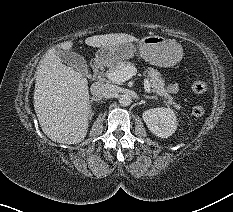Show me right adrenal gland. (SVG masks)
Segmentation results:
<instances>
[{
    "label": "right adrenal gland",
    "mask_w": 233,
    "mask_h": 212,
    "mask_svg": "<svg viewBox=\"0 0 233 212\" xmlns=\"http://www.w3.org/2000/svg\"><path fill=\"white\" fill-rule=\"evenodd\" d=\"M102 100V98H95V97H92L91 98V105H90V107H92V103H93V101H96V102H100ZM94 110H92V108H91V111H90V116L92 117V115H94Z\"/></svg>",
    "instance_id": "2a0ac1e0"
}]
</instances>
